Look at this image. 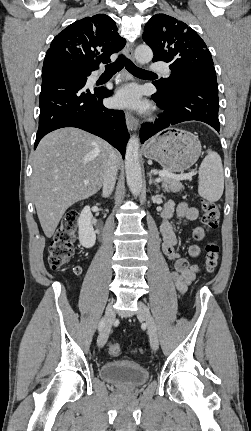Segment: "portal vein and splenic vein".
Masks as SVG:
<instances>
[{"mask_svg": "<svg viewBox=\"0 0 251 431\" xmlns=\"http://www.w3.org/2000/svg\"><path fill=\"white\" fill-rule=\"evenodd\" d=\"M159 177L160 178L161 177H168V178H173V179H176V180H186V179H190L191 175H187V174L176 175V174H172V173L163 171V172L159 173ZM160 178H158L157 181H160L161 180ZM88 183L89 182L87 180L84 181V184H88Z\"/></svg>", "mask_w": 251, "mask_h": 431, "instance_id": "obj_1", "label": "portal vein and splenic vein"}]
</instances>
